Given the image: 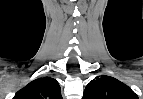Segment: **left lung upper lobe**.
<instances>
[{"instance_id": "left-lung-upper-lobe-1", "label": "left lung upper lobe", "mask_w": 143, "mask_h": 99, "mask_svg": "<svg viewBox=\"0 0 143 99\" xmlns=\"http://www.w3.org/2000/svg\"><path fill=\"white\" fill-rule=\"evenodd\" d=\"M83 99H138V96L119 80L101 75L88 83Z\"/></svg>"}]
</instances>
